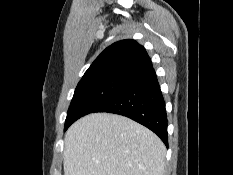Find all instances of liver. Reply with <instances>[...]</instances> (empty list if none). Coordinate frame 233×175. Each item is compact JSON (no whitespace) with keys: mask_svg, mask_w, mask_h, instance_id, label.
Here are the masks:
<instances>
[{"mask_svg":"<svg viewBox=\"0 0 233 175\" xmlns=\"http://www.w3.org/2000/svg\"><path fill=\"white\" fill-rule=\"evenodd\" d=\"M64 175H163L166 147L141 124L92 113L65 134Z\"/></svg>","mask_w":233,"mask_h":175,"instance_id":"obj_1","label":"liver"}]
</instances>
